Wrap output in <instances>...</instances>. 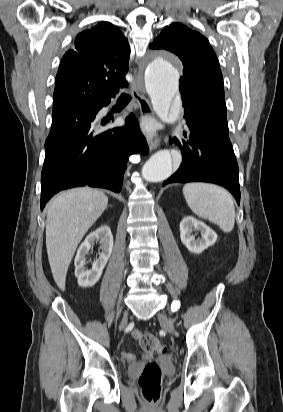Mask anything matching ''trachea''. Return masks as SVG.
<instances>
[{
    "label": "trachea",
    "mask_w": 283,
    "mask_h": 412,
    "mask_svg": "<svg viewBox=\"0 0 283 412\" xmlns=\"http://www.w3.org/2000/svg\"><path fill=\"white\" fill-rule=\"evenodd\" d=\"M130 99H131L130 95L125 94V93H122L121 96H120V98H119V101H121V102H129Z\"/></svg>",
    "instance_id": "trachea-1"
}]
</instances>
